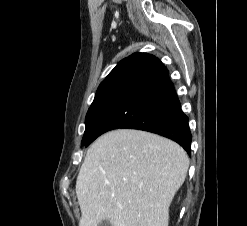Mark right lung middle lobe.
Instances as JSON below:
<instances>
[{
  "label": "right lung middle lobe",
  "mask_w": 247,
  "mask_h": 226,
  "mask_svg": "<svg viewBox=\"0 0 247 226\" xmlns=\"http://www.w3.org/2000/svg\"><path fill=\"white\" fill-rule=\"evenodd\" d=\"M122 68H123L122 66H118L114 68L110 72V74L99 85L94 101L92 102L86 115V119H85L86 129L82 139L83 146L91 138L93 133V128L97 123L100 114L117 83Z\"/></svg>",
  "instance_id": "right-lung-middle-lobe-1"
}]
</instances>
